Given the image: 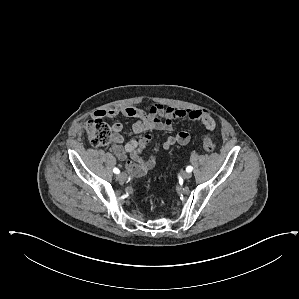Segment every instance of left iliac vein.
Here are the masks:
<instances>
[{
  "instance_id": "obj_1",
  "label": "left iliac vein",
  "mask_w": 299,
  "mask_h": 299,
  "mask_svg": "<svg viewBox=\"0 0 299 299\" xmlns=\"http://www.w3.org/2000/svg\"><path fill=\"white\" fill-rule=\"evenodd\" d=\"M191 176H192V174L190 172L185 171V172L182 173V178L185 179V180L190 179Z\"/></svg>"
}]
</instances>
